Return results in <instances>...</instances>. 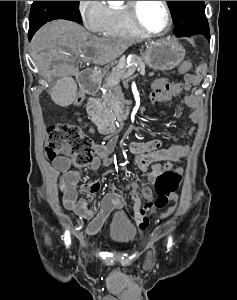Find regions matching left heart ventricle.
<instances>
[{"label": "left heart ventricle", "mask_w": 237, "mask_h": 300, "mask_svg": "<svg viewBox=\"0 0 237 300\" xmlns=\"http://www.w3.org/2000/svg\"><path fill=\"white\" fill-rule=\"evenodd\" d=\"M139 16L142 24L151 31L160 32L166 25L162 1H141Z\"/></svg>", "instance_id": "obj_1"}]
</instances>
